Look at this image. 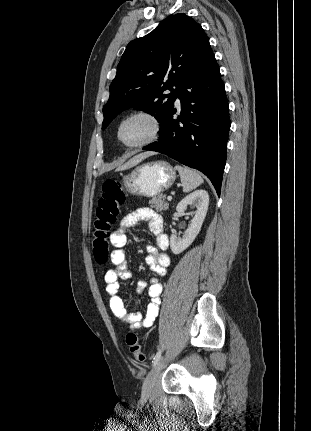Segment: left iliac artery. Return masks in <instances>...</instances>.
Segmentation results:
<instances>
[{"instance_id":"1","label":"left iliac artery","mask_w":311,"mask_h":431,"mask_svg":"<svg viewBox=\"0 0 311 431\" xmlns=\"http://www.w3.org/2000/svg\"><path fill=\"white\" fill-rule=\"evenodd\" d=\"M160 358H161V350H159L156 353L155 357L153 358L152 365L155 366Z\"/></svg>"}]
</instances>
